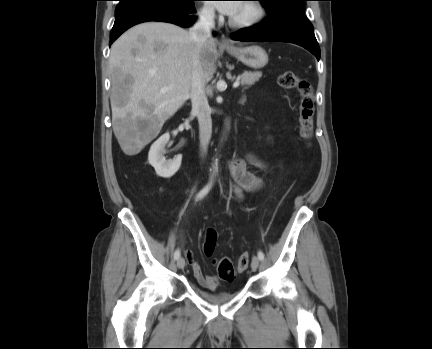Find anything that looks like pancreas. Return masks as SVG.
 <instances>
[{"instance_id": "pancreas-1", "label": "pancreas", "mask_w": 432, "mask_h": 349, "mask_svg": "<svg viewBox=\"0 0 432 349\" xmlns=\"http://www.w3.org/2000/svg\"><path fill=\"white\" fill-rule=\"evenodd\" d=\"M261 76L262 73L259 71H255V72L245 71L244 73L238 76V79L240 80L242 86H251L256 81H258Z\"/></svg>"}]
</instances>
